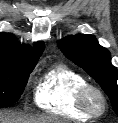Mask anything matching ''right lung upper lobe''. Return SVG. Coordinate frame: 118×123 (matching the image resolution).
Instances as JSON below:
<instances>
[{
    "label": "right lung upper lobe",
    "instance_id": "obj_1",
    "mask_svg": "<svg viewBox=\"0 0 118 123\" xmlns=\"http://www.w3.org/2000/svg\"><path fill=\"white\" fill-rule=\"evenodd\" d=\"M43 42H37L34 48L21 45L10 34L0 33V61L15 63L25 68H34L44 51Z\"/></svg>",
    "mask_w": 118,
    "mask_h": 123
}]
</instances>
